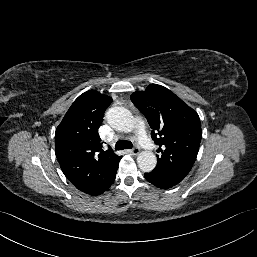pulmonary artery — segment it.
<instances>
[{
  "mask_svg": "<svg viewBox=\"0 0 257 257\" xmlns=\"http://www.w3.org/2000/svg\"><path fill=\"white\" fill-rule=\"evenodd\" d=\"M138 128H139V132H140V144L142 147L146 148V149H150L153 144L149 143V139L147 138V136L144 134V122L142 119H138Z\"/></svg>",
  "mask_w": 257,
  "mask_h": 257,
  "instance_id": "1",
  "label": "pulmonary artery"
}]
</instances>
